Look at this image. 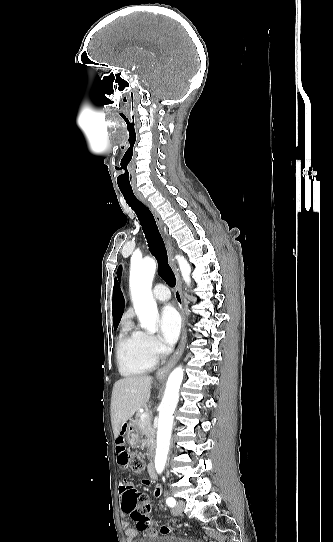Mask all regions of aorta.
Here are the masks:
<instances>
[{
	"label": "aorta",
	"mask_w": 333,
	"mask_h": 542,
	"mask_svg": "<svg viewBox=\"0 0 333 542\" xmlns=\"http://www.w3.org/2000/svg\"><path fill=\"white\" fill-rule=\"evenodd\" d=\"M180 270L183 280L190 284L189 274L191 268L184 258L178 256ZM156 270L155 260L144 258L143 262L136 264L130 272V290L133 302V308L138 316L140 328L148 332H156V322L158 318L157 304L152 294V282ZM184 370L182 366L175 368L171 372L164 394V398L159 406L158 430H157V448L155 456V470L161 474L165 468L169 446L170 436L173 426V414L179 400V390L183 382Z\"/></svg>",
	"instance_id": "762f6f07"
}]
</instances>
